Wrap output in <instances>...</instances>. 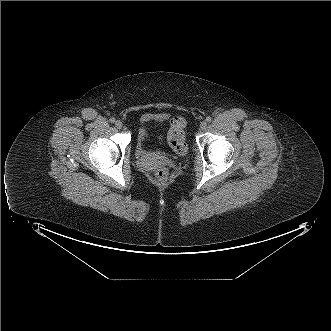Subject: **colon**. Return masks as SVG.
<instances>
[{"mask_svg":"<svg viewBox=\"0 0 331 331\" xmlns=\"http://www.w3.org/2000/svg\"><path fill=\"white\" fill-rule=\"evenodd\" d=\"M185 125L186 122L182 117H175L171 121L168 131V143L171 148L178 153H182L186 148L184 133ZM155 179L159 183H166L169 179L168 171L165 168H158L155 171Z\"/></svg>","mask_w":331,"mask_h":331,"instance_id":"5ec220e1","label":"colon"}]
</instances>
